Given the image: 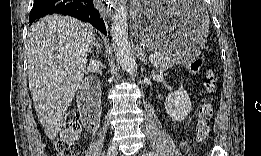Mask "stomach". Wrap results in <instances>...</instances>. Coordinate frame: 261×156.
<instances>
[{
	"label": "stomach",
	"mask_w": 261,
	"mask_h": 156,
	"mask_svg": "<svg viewBox=\"0 0 261 156\" xmlns=\"http://www.w3.org/2000/svg\"><path fill=\"white\" fill-rule=\"evenodd\" d=\"M131 15L136 37L154 52L183 64L200 55L209 21L198 2H137Z\"/></svg>",
	"instance_id": "0dacf381"
}]
</instances>
